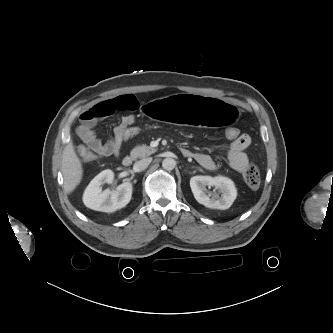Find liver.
<instances>
[{
    "instance_id": "6515ba94",
    "label": "liver",
    "mask_w": 333,
    "mask_h": 333,
    "mask_svg": "<svg viewBox=\"0 0 333 333\" xmlns=\"http://www.w3.org/2000/svg\"><path fill=\"white\" fill-rule=\"evenodd\" d=\"M62 173L65 190L72 192L81 182L83 176L82 163L75 153L72 142L63 151Z\"/></svg>"
}]
</instances>
